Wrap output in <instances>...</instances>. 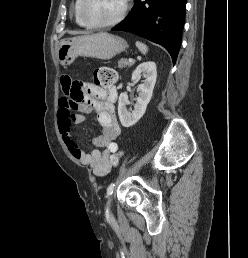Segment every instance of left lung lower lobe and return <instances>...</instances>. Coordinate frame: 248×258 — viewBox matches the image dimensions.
Instances as JSON below:
<instances>
[{"label":"left lung lower lobe","instance_id":"obj_1","mask_svg":"<svg viewBox=\"0 0 248 258\" xmlns=\"http://www.w3.org/2000/svg\"><path fill=\"white\" fill-rule=\"evenodd\" d=\"M186 0H134L128 16L112 28L163 46L175 64L181 45Z\"/></svg>","mask_w":248,"mask_h":258}]
</instances>
